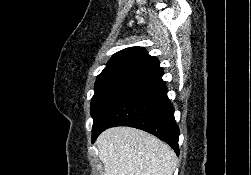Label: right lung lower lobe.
<instances>
[{"label": "right lung lower lobe", "mask_w": 251, "mask_h": 175, "mask_svg": "<svg viewBox=\"0 0 251 175\" xmlns=\"http://www.w3.org/2000/svg\"><path fill=\"white\" fill-rule=\"evenodd\" d=\"M114 126H130L149 132L179 154V128L162 75L138 80L123 91L102 116L98 129L92 134V142L102 131Z\"/></svg>", "instance_id": "right-lung-lower-lobe-1"}]
</instances>
